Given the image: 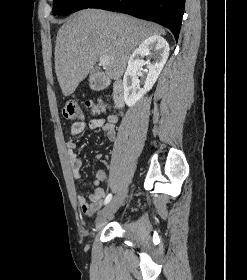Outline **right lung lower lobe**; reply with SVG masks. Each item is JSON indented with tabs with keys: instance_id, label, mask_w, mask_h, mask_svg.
<instances>
[{
	"instance_id": "98d812e1",
	"label": "right lung lower lobe",
	"mask_w": 247,
	"mask_h": 280,
	"mask_svg": "<svg viewBox=\"0 0 247 280\" xmlns=\"http://www.w3.org/2000/svg\"><path fill=\"white\" fill-rule=\"evenodd\" d=\"M185 0H98L90 8H102L158 22L178 40Z\"/></svg>"
}]
</instances>
